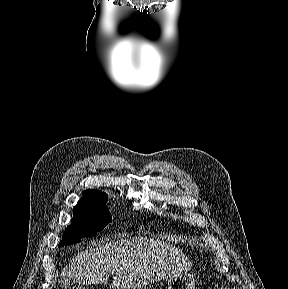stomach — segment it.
<instances>
[{
	"label": "stomach",
	"mask_w": 288,
	"mask_h": 289,
	"mask_svg": "<svg viewBox=\"0 0 288 289\" xmlns=\"http://www.w3.org/2000/svg\"><path fill=\"white\" fill-rule=\"evenodd\" d=\"M168 289H195V279L192 274L180 272L168 280Z\"/></svg>",
	"instance_id": "1"
}]
</instances>
